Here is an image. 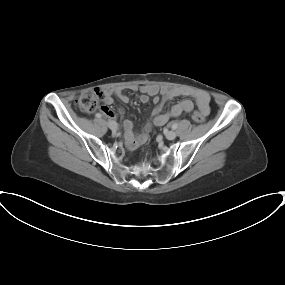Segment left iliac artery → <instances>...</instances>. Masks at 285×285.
<instances>
[{
    "mask_svg": "<svg viewBox=\"0 0 285 285\" xmlns=\"http://www.w3.org/2000/svg\"><path fill=\"white\" fill-rule=\"evenodd\" d=\"M177 127H178V122H174V123L172 124V126H171V128H172L173 130L177 129Z\"/></svg>",
    "mask_w": 285,
    "mask_h": 285,
    "instance_id": "1",
    "label": "left iliac artery"
}]
</instances>
